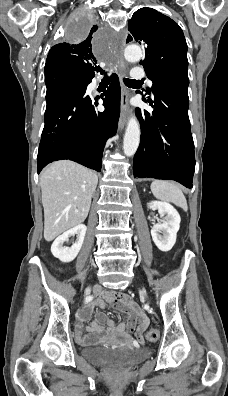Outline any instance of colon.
<instances>
[{
	"label": "colon",
	"instance_id": "1",
	"mask_svg": "<svg viewBox=\"0 0 228 396\" xmlns=\"http://www.w3.org/2000/svg\"><path fill=\"white\" fill-rule=\"evenodd\" d=\"M149 341H156L159 337V332L157 329H150L146 335Z\"/></svg>",
	"mask_w": 228,
	"mask_h": 396
}]
</instances>
